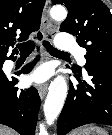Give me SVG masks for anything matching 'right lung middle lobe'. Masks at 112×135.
I'll list each match as a JSON object with an SVG mask.
<instances>
[{
  "label": "right lung middle lobe",
  "mask_w": 112,
  "mask_h": 135,
  "mask_svg": "<svg viewBox=\"0 0 112 135\" xmlns=\"http://www.w3.org/2000/svg\"><path fill=\"white\" fill-rule=\"evenodd\" d=\"M3 63L4 62H0V75L4 73L3 70H2Z\"/></svg>",
  "instance_id": "1"
}]
</instances>
